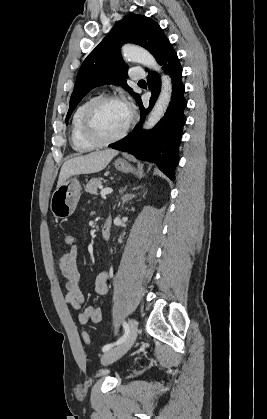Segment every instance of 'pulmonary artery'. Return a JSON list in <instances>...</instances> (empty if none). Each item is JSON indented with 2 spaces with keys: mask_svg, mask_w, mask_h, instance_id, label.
Instances as JSON below:
<instances>
[{
  "mask_svg": "<svg viewBox=\"0 0 267 419\" xmlns=\"http://www.w3.org/2000/svg\"><path fill=\"white\" fill-rule=\"evenodd\" d=\"M145 77V72L140 68H132L130 70V78L133 80H142Z\"/></svg>",
  "mask_w": 267,
  "mask_h": 419,
  "instance_id": "1",
  "label": "pulmonary artery"
}]
</instances>
